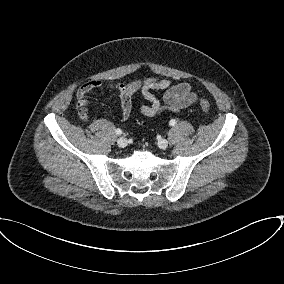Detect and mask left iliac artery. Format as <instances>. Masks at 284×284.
<instances>
[{
	"label": "left iliac artery",
	"mask_w": 284,
	"mask_h": 284,
	"mask_svg": "<svg viewBox=\"0 0 284 284\" xmlns=\"http://www.w3.org/2000/svg\"><path fill=\"white\" fill-rule=\"evenodd\" d=\"M175 124H176V120L175 119L170 120V122H169L170 126H174Z\"/></svg>",
	"instance_id": "obj_1"
}]
</instances>
